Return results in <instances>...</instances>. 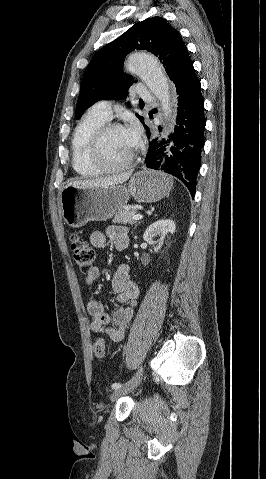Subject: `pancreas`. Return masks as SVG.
<instances>
[{
  "mask_svg": "<svg viewBox=\"0 0 266 479\" xmlns=\"http://www.w3.org/2000/svg\"><path fill=\"white\" fill-rule=\"evenodd\" d=\"M136 210H124L120 209L115 217L113 218L114 223H119V224H134L136 223L135 220L132 219V216L136 214Z\"/></svg>",
  "mask_w": 266,
  "mask_h": 479,
  "instance_id": "pancreas-1",
  "label": "pancreas"
}]
</instances>
